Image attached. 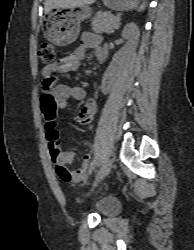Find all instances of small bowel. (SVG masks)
Masks as SVG:
<instances>
[{
    "label": "small bowel",
    "mask_w": 194,
    "mask_h": 250,
    "mask_svg": "<svg viewBox=\"0 0 194 250\" xmlns=\"http://www.w3.org/2000/svg\"><path fill=\"white\" fill-rule=\"evenodd\" d=\"M89 49L94 50L98 61L103 62L105 60L106 52L101 47L100 36L94 33L86 32L82 34L80 44L71 54L62 58L56 65L45 67L43 69V87L46 91H49L53 95L58 104L64 105L69 98L83 100L86 94L85 89L80 85H59L55 88H52L53 83H47L46 81L52 78V75L56 72L77 71L81 66V62L85 58L86 52ZM102 87H107V79L102 81ZM96 111L97 102L94 99L87 100L79 111L76 119L80 124L86 125L90 128ZM43 117L46 123L49 152L53 162L56 164V166L62 165L64 167L72 164L74 160V153L71 151L61 150L57 141L58 132L55 125L56 114L54 116ZM90 161V154H85L82 158L81 166L77 170L70 172V179L67 180L62 177L61 178L67 182L78 183L85 181L87 179Z\"/></svg>",
    "instance_id": "obj_1"
}]
</instances>
